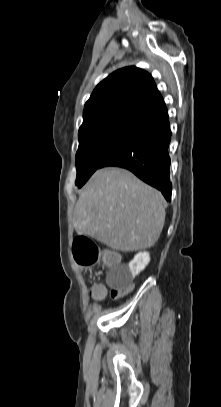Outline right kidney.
<instances>
[{
	"label": "right kidney",
	"instance_id": "obj_1",
	"mask_svg": "<svg viewBox=\"0 0 221 407\" xmlns=\"http://www.w3.org/2000/svg\"><path fill=\"white\" fill-rule=\"evenodd\" d=\"M150 262V255L148 252H139L135 255L134 259L129 262L130 273L126 276L128 281H132Z\"/></svg>",
	"mask_w": 221,
	"mask_h": 407
}]
</instances>
